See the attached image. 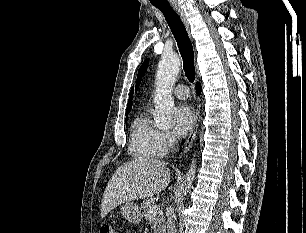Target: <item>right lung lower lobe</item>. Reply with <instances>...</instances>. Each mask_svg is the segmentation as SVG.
Here are the masks:
<instances>
[{
	"label": "right lung lower lobe",
	"mask_w": 306,
	"mask_h": 233,
	"mask_svg": "<svg viewBox=\"0 0 306 233\" xmlns=\"http://www.w3.org/2000/svg\"><path fill=\"white\" fill-rule=\"evenodd\" d=\"M196 88H197V94H200V92H201V85H200V83H197Z\"/></svg>",
	"instance_id": "obj_1"
}]
</instances>
